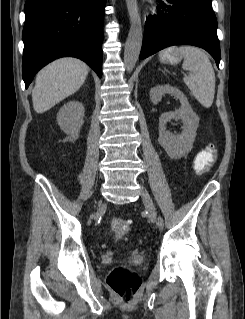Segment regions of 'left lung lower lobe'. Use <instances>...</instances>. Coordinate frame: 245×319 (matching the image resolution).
<instances>
[{"label": "left lung lower lobe", "instance_id": "0a47b994", "mask_svg": "<svg viewBox=\"0 0 245 319\" xmlns=\"http://www.w3.org/2000/svg\"><path fill=\"white\" fill-rule=\"evenodd\" d=\"M158 2L164 11L146 19L140 59L171 45L189 44L208 51L219 67L217 19L211 6L197 0Z\"/></svg>", "mask_w": 245, "mask_h": 319}]
</instances>
